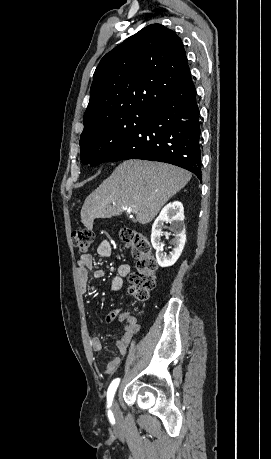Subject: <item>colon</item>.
Listing matches in <instances>:
<instances>
[{
	"mask_svg": "<svg viewBox=\"0 0 271 459\" xmlns=\"http://www.w3.org/2000/svg\"><path fill=\"white\" fill-rule=\"evenodd\" d=\"M120 237L137 259V270L129 275V292L136 300L145 301L155 286L158 266L152 245L147 237L132 228H123ZM93 240L94 234L90 229L81 228L72 232V242L82 252L89 249Z\"/></svg>",
	"mask_w": 271,
	"mask_h": 459,
	"instance_id": "1",
	"label": "colon"
}]
</instances>
